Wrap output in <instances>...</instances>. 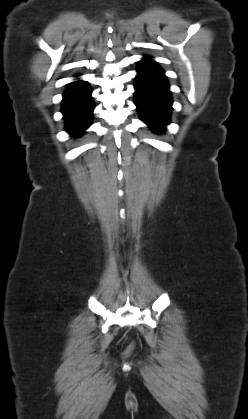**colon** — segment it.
<instances>
[{
  "instance_id": "obj_1",
  "label": "colon",
  "mask_w": 248,
  "mask_h": 419,
  "mask_svg": "<svg viewBox=\"0 0 248 419\" xmlns=\"http://www.w3.org/2000/svg\"><path fill=\"white\" fill-rule=\"evenodd\" d=\"M133 349H134V345H130L126 350V353H130L131 351H133Z\"/></svg>"
}]
</instances>
